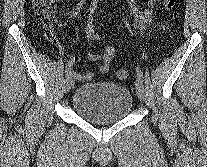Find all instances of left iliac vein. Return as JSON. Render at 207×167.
<instances>
[{"label": "left iliac vein", "mask_w": 207, "mask_h": 167, "mask_svg": "<svg viewBox=\"0 0 207 167\" xmlns=\"http://www.w3.org/2000/svg\"><path fill=\"white\" fill-rule=\"evenodd\" d=\"M135 87H136L137 96L139 97L140 100H143L145 96L144 85L139 77H137L136 79Z\"/></svg>", "instance_id": "1"}]
</instances>
